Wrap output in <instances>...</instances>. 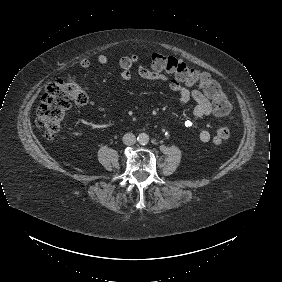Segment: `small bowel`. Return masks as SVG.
I'll use <instances>...</instances> for the list:
<instances>
[{"instance_id":"c3829d8e","label":"small bowel","mask_w":282,"mask_h":282,"mask_svg":"<svg viewBox=\"0 0 282 282\" xmlns=\"http://www.w3.org/2000/svg\"><path fill=\"white\" fill-rule=\"evenodd\" d=\"M97 61L100 64H106L108 61V58L104 54H100L97 57ZM91 65V62L87 58H82L79 61V66L82 69H87ZM119 66L121 68L120 78L123 81H129L132 78V72L131 69L134 66H137L138 75L145 79L150 81H159L163 82L168 85V87L173 90L177 94V102L184 106L190 101L195 102V106L193 109V114L195 117L201 118L205 116L213 115L212 113V105L210 103V99L208 95L202 91L199 88H190L186 85H183L180 83L179 80L175 78H171L167 76L166 74L156 71L154 69L148 68L144 63H141L138 56L135 54L123 56L119 60ZM188 125H190V122H188ZM198 137L199 140L203 143H207L210 140V132L204 128L201 127L198 130Z\"/></svg>"}]
</instances>
